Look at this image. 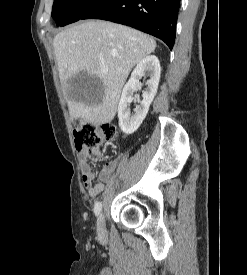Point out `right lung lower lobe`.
Listing matches in <instances>:
<instances>
[{"instance_id":"obj_1","label":"right lung lower lobe","mask_w":247,"mask_h":275,"mask_svg":"<svg viewBox=\"0 0 247 275\" xmlns=\"http://www.w3.org/2000/svg\"><path fill=\"white\" fill-rule=\"evenodd\" d=\"M180 0H101L81 19H103L131 26L163 40L170 49Z\"/></svg>"}]
</instances>
